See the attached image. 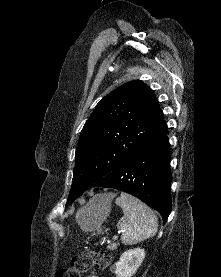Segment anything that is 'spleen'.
<instances>
[{"mask_svg":"<svg viewBox=\"0 0 221 277\" xmlns=\"http://www.w3.org/2000/svg\"><path fill=\"white\" fill-rule=\"evenodd\" d=\"M115 203L122 208L124 213L117 223V227L122 231L123 244L133 245L156 234L157 217L143 202L129 194L121 193Z\"/></svg>","mask_w":221,"mask_h":277,"instance_id":"3e777b00","label":"spleen"}]
</instances>
